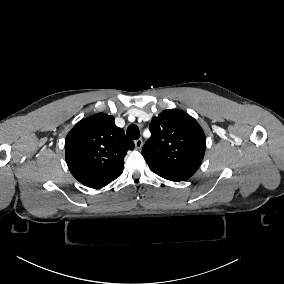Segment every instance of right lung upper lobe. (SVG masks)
I'll list each match as a JSON object with an SVG mask.
<instances>
[{
	"instance_id": "1",
	"label": "right lung upper lobe",
	"mask_w": 284,
	"mask_h": 284,
	"mask_svg": "<svg viewBox=\"0 0 284 284\" xmlns=\"http://www.w3.org/2000/svg\"><path fill=\"white\" fill-rule=\"evenodd\" d=\"M134 142L114 123V117L98 113L79 121L65 140L66 162L83 185L99 189L118 178L124 157Z\"/></svg>"
}]
</instances>
